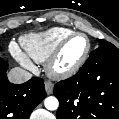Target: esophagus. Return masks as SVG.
Masks as SVG:
<instances>
[{
	"label": "esophagus",
	"instance_id": "obj_1",
	"mask_svg": "<svg viewBox=\"0 0 119 119\" xmlns=\"http://www.w3.org/2000/svg\"><path fill=\"white\" fill-rule=\"evenodd\" d=\"M44 86L47 94H51L53 92V88H54L53 83H51L50 81H46Z\"/></svg>",
	"mask_w": 119,
	"mask_h": 119
}]
</instances>
